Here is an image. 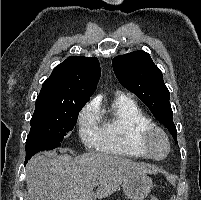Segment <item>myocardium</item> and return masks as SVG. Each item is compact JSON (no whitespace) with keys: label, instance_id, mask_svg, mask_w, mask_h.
<instances>
[{"label":"myocardium","instance_id":"myocardium-1","mask_svg":"<svg viewBox=\"0 0 201 200\" xmlns=\"http://www.w3.org/2000/svg\"><path fill=\"white\" fill-rule=\"evenodd\" d=\"M154 133L161 134L167 143V151L164 154V156H162L160 158L154 157L152 155V151H151L150 138H151L152 134H154ZM139 142L142 145V147L144 148V150L146 151L147 157H149L150 159H152L154 161L164 160L165 158L168 157V155L171 151V140H170L168 133L162 127L157 126L155 124H150L140 130Z\"/></svg>","mask_w":201,"mask_h":200}]
</instances>
